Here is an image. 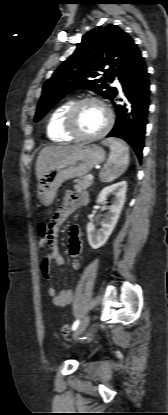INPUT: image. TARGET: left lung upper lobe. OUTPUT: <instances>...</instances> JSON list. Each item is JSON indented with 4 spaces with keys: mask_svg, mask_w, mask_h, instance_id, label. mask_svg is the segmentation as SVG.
I'll use <instances>...</instances> for the list:
<instances>
[{
    "mask_svg": "<svg viewBox=\"0 0 168 415\" xmlns=\"http://www.w3.org/2000/svg\"><path fill=\"white\" fill-rule=\"evenodd\" d=\"M139 53L133 39L116 25L87 32L75 52L45 82L34 120L39 121L74 90L89 89L112 101L117 90L107 82L114 77L121 80Z\"/></svg>",
    "mask_w": 168,
    "mask_h": 415,
    "instance_id": "5c2ea615",
    "label": "left lung upper lobe"
}]
</instances>
